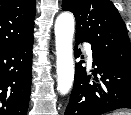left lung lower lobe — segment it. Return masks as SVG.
<instances>
[{
    "label": "left lung lower lobe",
    "instance_id": "1",
    "mask_svg": "<svg viewBox=\"0 0 131 115\" xmlns=\"http://www.w3.org/2000/svg\"><path fill=\"white\" fill-rule=\"evenodd\" d=\"M86 41L76 36L74 56L81 54L77 45ZM92 75L79 62L75 66L74 86L64 115H101L118 109L131 108V70L109 61L93 47ZM91 79V80H90Z\"/></svg>",
    "mask_w": 131,
    "mask_h": 115
}]
</instances>
